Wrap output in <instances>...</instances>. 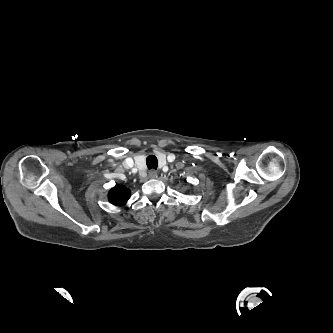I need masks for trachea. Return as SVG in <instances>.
I'll list each match as a JSON object with an SVG mask.
<instances>
[{
  "label": "trachea",
  "instance_id": "3493384b",
  "mask_svg": "<svg viewBox=\"0 0 333 333\" xmlns=\"http://www.w3.org/2000/svg\"><path fill=\"white\" fill-rule=\"evenodd\" d=\"M146 164H147L148 169H157L158 160H157L156 156L149 155L146 158Z\"/></svg>",
  "mask_w": 333,
  "mask_h": 333
}]
</instances>
